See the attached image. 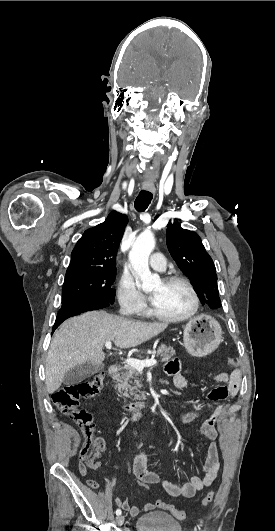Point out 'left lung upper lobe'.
I'll return each mask as SVG.
<instances>
[{
    "label": "left lung upper lobe",
    "instance_id": "left-lung-upper-lobe-1",
    "mask_svg": "<svg viewBox=\"0 0 275 531\" xmlns=\"http://www.w3.org/2000/svg\"><path fill=\"white\" fill-rule=\"evenodd\" d=\"M167 227L168 250L178 267L192 281L201 303L208 304L212 309L220 307L215 265L201 238L197 233L171 222Z\"/></svg>",
    "mask_w": 275,
    "mask_h": 531
}]
</instances>
